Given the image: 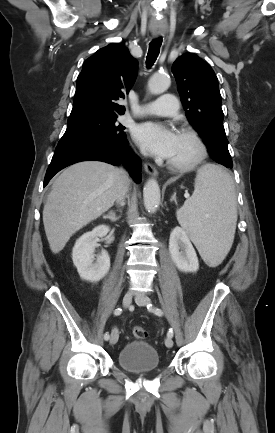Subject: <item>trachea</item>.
Wrapping results in <instances>:
<instances>
[{
  "label": "trachea",
  "mask_w": 275,
  "mask_h": 433,
  "mask_svg": "<svg viewBox=\"0 0 275 433\" xmlns=\"http://www.w3.org/2000/svg\"><path fill=\"white\" fill-rule=\"evenodd\" d=\"M161 44H162L161 38L154 39L153 41L150 42L149 50L147 54V61H146L148 67H151L156 61L160 52Z\"/></svg>",
  "instance_id": "obj_1"
}]
</instances>
